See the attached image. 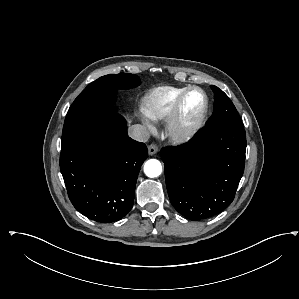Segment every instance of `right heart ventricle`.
Here are the masks:
<instances>
[{
    "mask_svg": "<svg viewBox=\"0 0 299 299\" xmlns=\"http://www.w3.org/2000/svg\"><path fill=\"white\" fill-rule=\"evenodd\" d=\"M186 87L162 86L149 91L142 99L141 111L149 121L164 120Z\"/></svg>",
    "mask_w": 299,
    "mask_h": 299,
    "instance_id": "e07e8e85",
    "label": "right heart ventricle"
}]
</instances>
